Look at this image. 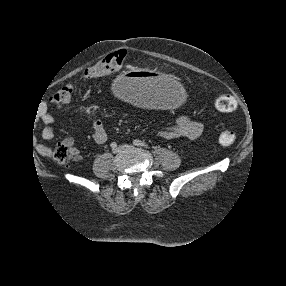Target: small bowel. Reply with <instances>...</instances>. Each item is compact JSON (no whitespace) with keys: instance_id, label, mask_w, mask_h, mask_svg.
<instances>
[{"instance_id":"small-bowel-1","label":"small bowel","mask_w":286,"mask_h":286,"mask_svg":"<svg viewBox=\"0 0 286 286\" xmlns=\"http://www.w3.org/2000/svg\"><path fill=\"white\" fill-rule=\"evenodd\" d=\"M41 120L44 124L41 137L44 140H51L54 137V117L49 111L45 110L41 114ZM202 132L203 125L201 122L188 115L180 114L172 124L161 127L158 130V135L164 139H194L199 137ZM92 137L97 144H104L108 139L105 125L102 120L98 118H95L92 122ZM63 143L72 151L73 159L80 160V150L77 147L75 140L71 137H67L63 140ZM37 151L41 155H49L50 148L46 145L39 144L37 146Z\"/></svg>"}]
</instances>
